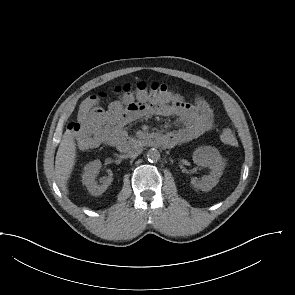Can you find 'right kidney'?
<instances>
[{
  "instance_id": "ca27d5eb",
  "label": "right kidney",
  "mask_w": 295,
  "mask_h": 295,
  "mask_svg": "<svg viewBox=\"0 0 295 295\" xmlns=\"http://www.w3.org/2000/svg\"><path fill=\"white\" fill-rule=\"evenodd\" d=\"M101 167L102 164L100 160H94L84 167V173L82 175L83 184L87 187L88 191L94 196H99L102 193H104L107 187L113 181L112 171L108 169V176L102 179L100 185L98 184V182L95 179L96 176L99 174Z\"/></svg>"
}]
</instances>
